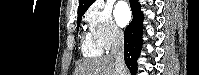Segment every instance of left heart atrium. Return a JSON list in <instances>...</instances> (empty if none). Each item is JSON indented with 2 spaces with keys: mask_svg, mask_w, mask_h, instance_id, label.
<instances>
[{
  "mask_svg": "<svg viewBox=\"0 0 199 75\" xmlns=\"http://www.w3.org/2000/svg\"><path fill=\"white\" fill-rule=\"evenodd\" d=\"M115 18L119 26H125L131 17L127 4L123 1L119 2L114 10Z\"/></svg>",
  "mask_w": 199,
  "mask_h": 75,
  "instance_id": "left-heart-atrium-1",
  "label": "left heart atrium"
}]
</instances>
